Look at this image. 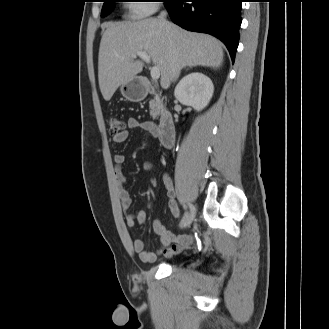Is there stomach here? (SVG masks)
Masks as SVG:
<instances>
[{
    "label": "stomach",
    "instance_id": "stomach-1",
    "mask_svg": "<svg viewBox=\"0 0 329 329\" xmlns=\"http://www.w3.org/2000/svg\"><path fill=\"white\" fill-rule=\"evenodd\" d=\"M120 91L128 101L140 102L147 96L148 86L143 78L135 76L127 83L121 85Z\"/></svg>",
    "mask_w": 329,
    "mask_h": 329
}]
</instances>
